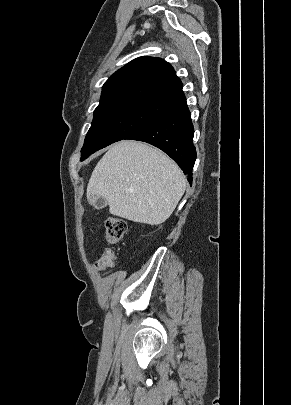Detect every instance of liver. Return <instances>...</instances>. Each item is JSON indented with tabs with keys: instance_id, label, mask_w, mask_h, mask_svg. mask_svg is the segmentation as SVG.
<instances>
[{
	"instance_id": "liver-1",
	"label": "liver",
	"mask_w": 291,
	"mask_h": 405,
	"mask_svg": "<svg viewBox=\"0 0 291 405\" xmlns=\"http://www.w3.org/2000/svg\"><path fill=\"white\" fill-rule=\"evenodd\" d=\"M186 188L181 169L148 144L122 140L94 168L87 199L103 198L114 216L159 225L175 210Z\"/></svg>"
}]
</instances>
